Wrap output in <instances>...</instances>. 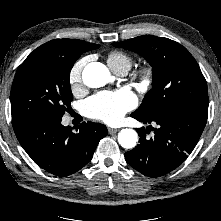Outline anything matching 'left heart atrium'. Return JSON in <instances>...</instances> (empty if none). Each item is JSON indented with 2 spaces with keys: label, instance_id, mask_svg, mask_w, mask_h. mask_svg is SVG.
Instances as JSON below:
<instances>
[{
  "label": "left heart atrium",
  "instance_id": "left-heart-atrium-1",
  "mask_svg": "<svg viewBox=\"0 0 221 221\" xmlns=\"http://www.w3.org/2000/svg\"><path fill=\"white\" fill-rule=\"evenodd\" d=\"M136 103L135 95L129 90L104 91L90 97L85 102V110L90 117L111 124L120 121Z\"/></svg>",
  "mask_w": 221,
  "mask_h": 221
}]
</instances>
